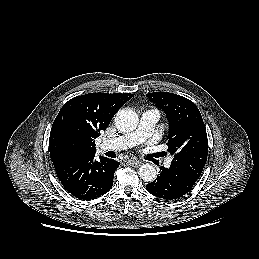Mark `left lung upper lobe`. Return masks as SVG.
Listing matches in <instances>:
<instances>
[{
	"instance_id": "1",
	"label": "left lung upper lobe",
	"mask_w": 259,
	"mask_h": 259,
	"mask_svg": "<svg viewBox=\"0 0 259 259\" xmlns=\"http://www.w3.org/2000/svg\"><path fill=\"white\" fill-rule=\"evenodd\" d=\"M169 121L168 152L171 165L198 180L207 161L208 139L202 116L189 99L169 92L146 94Z\"/></svg>"
}]
</instances>
